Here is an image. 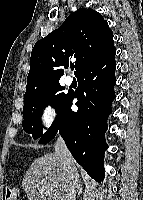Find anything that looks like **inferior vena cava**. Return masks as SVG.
<instances>
[{"label": "inferior vena cava", "instance_id": "1", "mask_svg": "<svg viewBox=\"0 0 143 200\" xmlns=\"http://www.w3.org/2000/svg\"><path fill=\"white\" fill-rule=\"evenodd\" d=\"M55 152L61 156L62 164L66 172L67 186L65 190V200H75L78 189V171L75 160L69 152L62 137H58L55 144Z\"/></svg>", "mask_w": 143, "mask_h": 200}]
</instances>
